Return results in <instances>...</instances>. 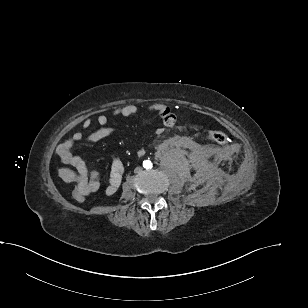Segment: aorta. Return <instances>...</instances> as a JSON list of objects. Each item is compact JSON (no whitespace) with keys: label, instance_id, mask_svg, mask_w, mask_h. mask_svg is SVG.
I'll list each match as a JSON object with an SVG mask.
<instances>
[{"label":"aorta","instance_id":"obj_1","mask_svg":"<svg viewBox=\"0 0 308 308\" xmlns=\"http://www.w3.org/2000/svg\"><path fill=\"white\" fill-rule=\"evenodd\" d=\"M143 166H144L145 168L149 169V168L152 167V163H151L150 161H145V162L143 163Z\"/></svg>","mask_w":308,"mask_h":308}]
</instances>
